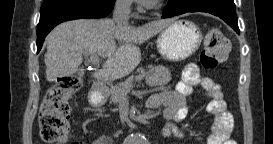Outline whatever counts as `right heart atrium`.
Here are the masks:
<instances>
[{"instance_id": "obj_1", "label": "right heart atrium", "mask_w": 273, "mask_h": 144, "mask_svg": "<svg viewBox=\"0 0 273 144\" xmlns=\"http://www.w3.org/2000/svg\"><path fill=\"white\" fill-rule=\"evenodd\" d=\"M116 5L122 10H129L131 7V0H116Z\"/></svg>"}]
</instances>
